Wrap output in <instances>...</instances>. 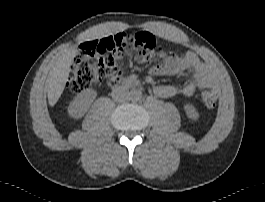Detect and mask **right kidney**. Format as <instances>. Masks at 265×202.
<instances>
[{
	"label": "right kidney",
	"mask_w": 265,
	"mask_h": 202,
	"mask_svg": "<svg viewBox=\"0 0 265 202\" xmlns=\"http://www.w3.org/2000/svg\"><path fill=\"white\" fill-rule=\"evenodd\" d=\"M96 96L97 92L95 90H85L79 93L68 107L69 115L75 119L83 117Z\"/></svg>",
	"instance_id": "obj_1"
}]
</instances>
